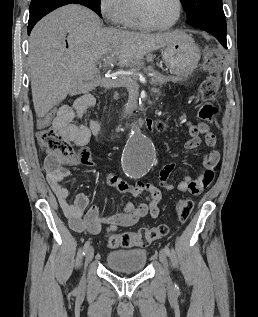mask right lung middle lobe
<instances>
[{"label":"right lung middle lobe","mask_w":258,"mask_h":317,"mask_svg":"<svg viewBox=\"0 0 258 317\" xmlns=\"http://www.w3.org/2000/svg\"><path fill=\"white\" fill-rule=\"evenodd\" d=\"M98 6H100V0H93Z\"/></svg>","instance_id":"obj_1"}]
</instances>
